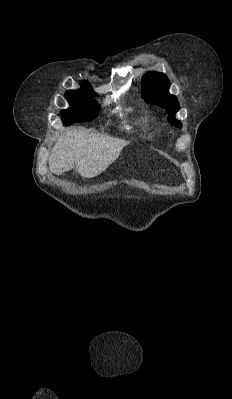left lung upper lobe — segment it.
<instances>
[{"mask_svg":"<svg viewBox=\"0 0 232 399\" xmlns=\"http://www.w3.org/2000/svg\"><path fill=\"white\" fill-rule=\"evenodd\" d=\"M143 97L148 102L158 104L164 108L168 114V120L172 124L181 127V122L174 119L180 106L176 96L169 93L170 82L166 75L160 72L151 71L142 78Z\"/></svg>","mask_w":232,"mask_h":399,"instance_id":"1","label":"left lung upper lobe"}]
</instances>
